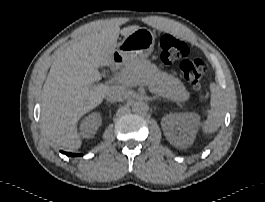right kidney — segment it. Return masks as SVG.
I'll return each mask as SVG.
<instances>
[{
  "label": "right kidney",
  "instance_id": "1",
  "mask_svg": "<svg viewBox=\"0 0 265 202\" xmlns=\"http://www.w3.org/2000/svg\"><path fill=\"white\" fill-rule=\"evenodd\" d=\"M101 123L102 119L99 113H92L85 117L80 125L82 137L92 138L96 134Z\"/></svg>",
  "mask_w": 265,
  "mask_h": 202
}]
</instances>
